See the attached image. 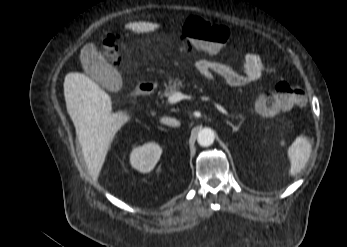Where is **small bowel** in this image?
I'll return each instance as SVG.
<instances>
[{"instance_id": "1", "label": "small bowel", "mask_w": 347, "mask_h": 247, "mask_svg": "<svg viewBox=\"0 0 347 247\" xmlns=\"http://www.w3.org/2000/svg\"><path fill=\"white\" fill-rule=\"evenodd\" d=\"M195 67L206 81L213 82L215 76H219L232 87H241L256 82L264 73L262 59L255 52L245 54L242 72L228 64L206 58L199 59Z\"/></svg>"}]
</instances>
